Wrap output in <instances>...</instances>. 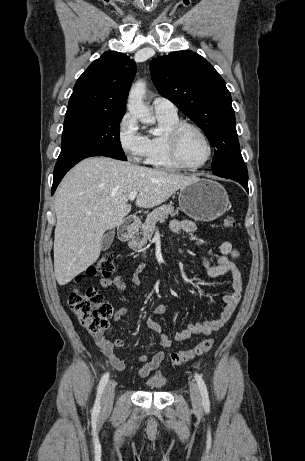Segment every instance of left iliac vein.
Returning a JSON list of instances; mask_svg holds the SVG:
<instances>
[{
	"label": "left iliac vein",
	"mask_w": 305,
	"mask_h": 461,
	"mask_svg": "<svg viewBox=\"0 0 305 461\" xmlns=\"http://www.w3.org/2000/svg\"><path fill=\"white\" fill-rule=\"evenodd\" d=\"M189 386H190V398H191L192 405L196 410H201L202 402H201L199 388L194 381H190Z\"/></svg>",
	"instance_id": "left-iliac-vein-1"
}]
</instances>
